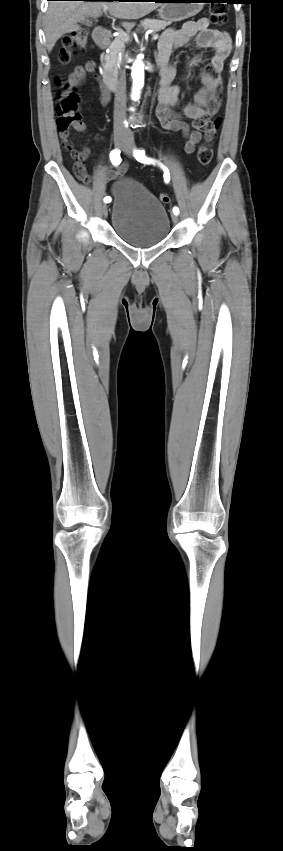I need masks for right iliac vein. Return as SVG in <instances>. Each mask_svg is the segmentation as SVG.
Segmentation results:
<instances>
[{
	"label": "right iliac vein",
	"instance_id": "63e3f726",
	"mask_svg": "<svg viewBox=\"0 0 283 851\" xmlns=\"http://www.w3.org/2000/svg\"><path fill=\"white\" fill-rule=\"evenodd\" d=\"M115 144H116V146H117V147H119V148H123V147H124V142H123L121 139H116ZM102 213H103L104 217H107V215H108V207H107V205H106V204H104V205L102 206Z\"/></svg>",
	"mask_w": 283,
	"mask_h": 851
}]
</instances>
